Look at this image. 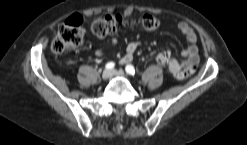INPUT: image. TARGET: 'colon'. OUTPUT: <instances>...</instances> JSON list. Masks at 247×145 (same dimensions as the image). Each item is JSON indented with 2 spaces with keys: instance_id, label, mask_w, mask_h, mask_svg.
Returning a JSON list of instances; mask_svg holds the SVG:
<instances>
[{
  "instance_id": "5ec220e1",
  "label": "colon",
  "mask_w": 247,
  "mask_h": 145,
  "mask_svg": "<svg viewBox=\"0 0 247 145\" xmlns=\"http://www.w3.org/2000/svg\"><path fill=\"white\" fill-rule=\"evenodd\" d=\"M139 25L146 31H154L159 27V21L150 14H145L131 21ZM129 21L120 14H108L94 19L90 25V31L96 37H105L107 35L116 34L123 30ZM84 28L82 18L75 15L65 22L59 28L57 35L51 43V49L55 54H63L72 51L83 41ZM159 63L167 65L170 57L167 53H162L157 57ZM195 70L183 73L177 72L178 78H184L193 75Z\"/></svg>"
}]
</instances>
